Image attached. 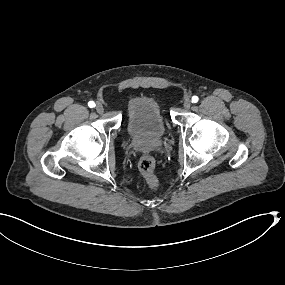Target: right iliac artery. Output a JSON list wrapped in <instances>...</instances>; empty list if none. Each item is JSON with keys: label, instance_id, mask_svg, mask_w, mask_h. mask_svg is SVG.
<instances>
[{"label": "right iliac artery", "instance_id": "obj_1", "mask_svg": "<svg viewBox=\"0 0 285 285\" xmlns=\"http://www.w3.org/2000/svg\"><path fill=\"white\" fill-rule=\"evenodd\" d=\"M88 106L90 108H93V107H95V103L93 101H90V102H88Z\"/></svg>", "mask_w": 285, "mask_h": 285}]
</instances>
